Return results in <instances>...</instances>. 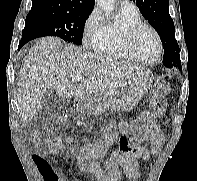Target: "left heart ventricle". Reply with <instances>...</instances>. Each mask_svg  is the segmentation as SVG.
I'll return each instance as SVG.
<instances>
[{
    "label": "left heart ventricle",
    "instance_id": "left-heart-ventricle-1",
    "mask_svg": "<svg viewBox=\"0 0 197 181\" xmlns=\"http://www.w3.org/2000/svg\"><path fill=\"white\" fill-rule=\"evenodd\" d=\"M136 49L143 59L153 60L157 57L158 43L155 36L148 29L142 30L138 35Z\"/></svg>",
    "mask_w": 197,
    "mask_h": 181
}]
</instances>
